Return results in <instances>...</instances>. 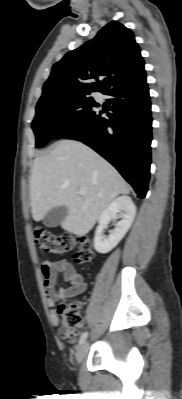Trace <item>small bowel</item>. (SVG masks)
I'll return each mask as SVG.
<instances>
[{
  "instance_id": "small-bowel-1",
  "label": "small bowel",
  "mask_w": 182,
  "mask_h": 399,
  "mask_svg": "<svg viewBox=\"0 0 182 399\" xmlns=\"http://www.w3.org/2000/svg\"><path fill=\"white\" fill-rule=\"evenodd\" d=\"M41 275L45 286V294L47 304L52 308L51 320L55 326H59L60 319L54 309L57 302L69 297H74L84 293L87 289V284L81 274H79L73 264L67 259H61L52 261L46 259L43 261L41 266ZM59 275H62L63 280L69 284L67 287H58L57 283ZM80 334V330L77 329L75 333V339H69L65 336L61 328H59V335L69 343H74Z\"/></svg>"
}]
</instances>
